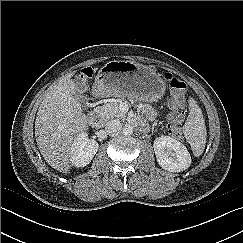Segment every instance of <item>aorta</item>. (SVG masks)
Returning <instances> with one entry per match:
<instances>
[{
	"label": "aorta",
	"instance_id": "obj_1",
	"mask_svg": "<svg viewBox=\"0 0 243 243\" xmlns=\"http://www.w3.org/2000/svg\"><path fill=\"white\" fill-rule=\"evenodd\" d=\"M133 133V127L131 125H125L123 127V134L124 135H131Z\"/></svg>",
	"mask_w": 243,
	"mask_h": 243
}]
</instances>
